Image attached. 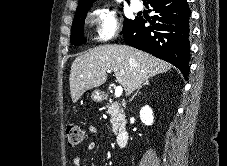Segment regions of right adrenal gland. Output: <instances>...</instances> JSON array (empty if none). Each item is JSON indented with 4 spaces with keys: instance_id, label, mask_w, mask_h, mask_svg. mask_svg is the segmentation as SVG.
Instances as JSON below:
<instances>
[{
    "instance_id": "right-adrenal-gland-1",
    "label": "right adrenal gland",
    "mask_w": 227,
    "mask_h": 166,
    "mask_svg": "<svg viewBox=\"0 0 227 166\" xmlns=\"http://www.w3.org/2000/svg\"><path fill=\"white\" fill-rule=\"evenodd\" d=\"M145 85H149V81L148 80H146L144 83H143V86H145ZM142 87V86H141ZM140 87V88H141ZM140 88L136 91V93L132 96V98H131V100L130 101H132L133 99H134V97L139 93V90H140Z\"/></svg>"
}]
</instances>
